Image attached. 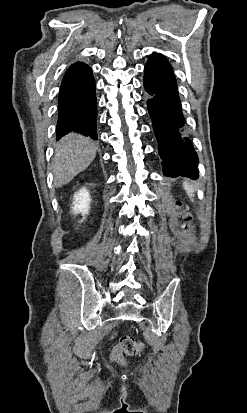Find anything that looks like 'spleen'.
<instances>
[{
  "label": "spleen",
  "instance_id": "spleen-1",
  "mask_svg": "<svg viewBox=\"0 0 247 413\" xmlns=\"http://www.w3.org/2000/svg\"><path fill=\"white\" fill-rule=\"evenodd\" d=\"M183 188H185L186 192H188L189 196H194L193 192V188H191L189 182H183Z\"/></svg>",
  "mask_w": 247,
  "mask_h": 413
}]
</instances>
